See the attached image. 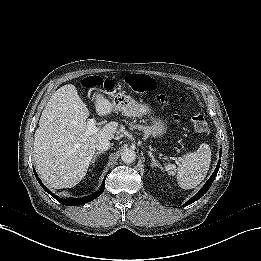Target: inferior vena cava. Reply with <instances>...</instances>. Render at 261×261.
Segmentation results:
<instances>
[{"label":"inferior vena cava","mask_w":261,"mask_h":261,"mask_svg":"<svg viewBox=\"0 0 261 261\" xmlns=\"http://www.w3.org/2000/svg\"><path fill=\"white\" fill-rule=\"evenodd\" d=\"M111 147V143L108 139L102 138L96 143L95 148L98 151H106Z\"/></svg>","instance_id":"obj_1"}]
</instances>
